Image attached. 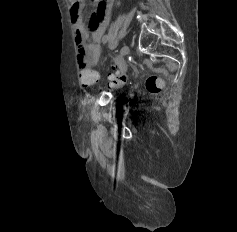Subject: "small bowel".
<instances>
[{"instance_id":"small-bowel-1","label":"small bowel","mask_w":237,"mask_h":232,"mask_svg":"<svg viewBox=\"0 0 237 232\" xmlns=\"http://www.w3.org/2000/svg\"><path fill=\"white\" fill-rule=\"evenodd\" d=\"M71 1V18L75 31L78 64L81 68L96 65L101 57V40L109 23L114 0H93L97 3V8L89 22L90 32L82 16L85 0Z\"/></svg>"}]
</instances>
